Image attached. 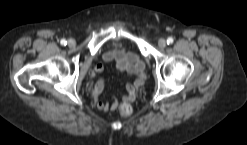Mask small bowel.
Returning <instances> with one entry per match:
<instances>
[{
  "mask_svg": "<svg viewBox=\"0 0 247 145\" xmlns=\"http://www.w3.org/2000/svg\"><path fill=\"white\" fill-rule=\"evenodd\" d=\"M103 60L105 64H114L116 68L122 72H126L134 76V82L126 86V94L123 101L131 103L136 99L138 89L144 80V63L136 53H125L122 49H114L104 54ZM104 70V64H98L93 73H101ZM105 83L102 78H98L92 87L91 94L96 100L98 110L106 112L113 111L119 107V101L103 102L100 96L104 90Z\"/></svg>",
  "mask_w": 247,
  "mask_h": 145,
  "instance_id": "small-bowel-1",
  "label": "small bowel"
}]
</instances>
